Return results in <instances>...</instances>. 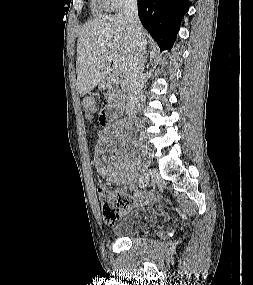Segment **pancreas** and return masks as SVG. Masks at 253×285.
Instances as JSON below:
<instances>
[{"label": "pancreas", "mask_w": 253, "mask_h": 285, "mask_svg": "<svg viewBox=\"0 0 253 285\" xmlns=\"http://www.w3.org/2000/svg\"><path fill=\"white\" fill-rule=\"evenodd\" d=\"M108 103L120 108L125 100V87L122 81L110 79L107 86Z\"/></svg>", "instance_id": "cf45deb5"}]
</instances>
